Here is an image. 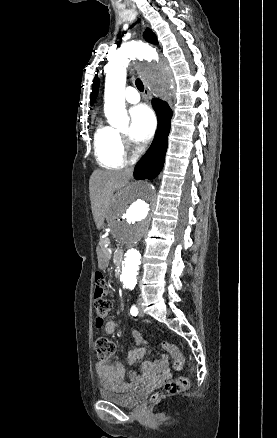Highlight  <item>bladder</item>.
Segmentation results:
<instances>
[{
    "label": "bladder",
    "mask_w": 277,
    "mask_h": 438,
    "mask_svg": "<svg viewBox=\"0 0 277 438\" xmlns=\"http://www.w3.org/2000/svg\"><path fill=\"white\" fill-rule=\"evenodd\" d=\"M98 395L105 402H110L121 407L134 408L139 405L142 389H134L127 393H120L109 388H101L98 391Z\"/></svg>",
    "instance_id": "bladder-1"
}]
</instances>
